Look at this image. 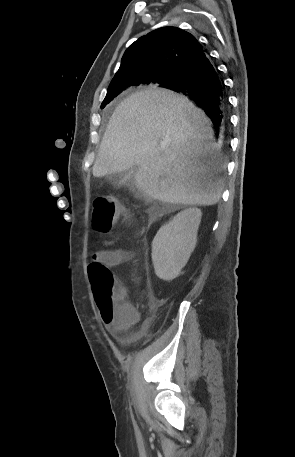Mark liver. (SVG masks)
I'll return each instance as SVG.
<instances>
[{
	"label": "liver",
	"instance_id": "liver-1",
	"mask_svg": "<svg viewBox=\"0 0 295 457\" xmlns=\"http://www.w3.org/2000/svg\"><path fill=\"white\" fill-rule=\"evenodd\" d=\"M206 114L166 89L136 92L116 107L93 165L94 177L138 166L137 188L170 204L209 206L222 194V170Z\"/></svg>",
	"mask_w": 295,
	"mask_h": 457
}]
</instances>
